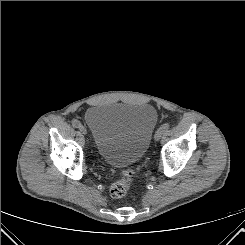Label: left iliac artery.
Masks as SVG:
<instances>
[{
  "label": "left iliac artery",
  "instance_id": "left-iliac-artery-1",
  "mask_svg": "<svg viewBox=\"0 0 245 245\" xmlns=\"http://www.w3.org/2000/svg\"><path fill=\"white\" fill-rule=\"evenodd\" d=\"M169 127H170V124H169V123H165V124H163V125L160 127V129L163 130V131H166V130L169 129Z\"/></svg>",
  "mask_w": 245,
  "mask_h": 245
}]
</instances>
